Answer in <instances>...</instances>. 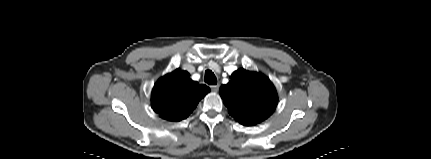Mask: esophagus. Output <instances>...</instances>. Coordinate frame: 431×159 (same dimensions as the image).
Masks as SVG:
<instances>
[{"label": "esophagus", "instance_id": "34e87169", "mask_svg": "<svg viewBox=\"0 0 431 159\" xmlns=\"http://www.w3.org/2000/svg\"><path fill=\"white\" fill-rule=\"evenodd\" d=\"M213 92H217L219 90V84L210 86Z\"/></svg>", "mask_w": 431, "mask_h": 159}]
</instances>
